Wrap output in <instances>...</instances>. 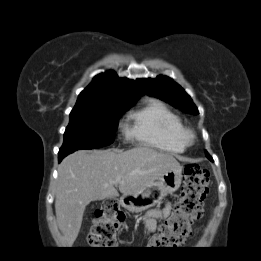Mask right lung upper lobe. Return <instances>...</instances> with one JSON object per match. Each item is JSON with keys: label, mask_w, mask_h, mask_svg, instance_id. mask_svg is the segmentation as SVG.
I'll list each match as a JSON object with an SVG mask.
<instances>
[{"label": "right lung upper lobe", "mask_w": 261, "mask_h": 261, "mask_svg": "<svg viewBox=\"0 0 261 261\" xmlns=\"http://www.w3.org/2000/svg\"><path fill=\"white\" fill-rule=\"evenodd\" d=\"M144 95L138 81L119 78L113 71L94 77L90 85L81 92L78 100L87 98L112 97L127 100H138Z\"/></svg>", "instance_id": "right-lung-upper-lobe-1"}]
</instances>
